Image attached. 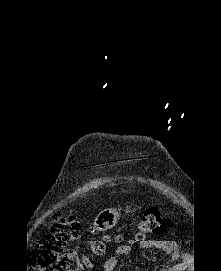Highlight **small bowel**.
I'll use <instances>...</instances> for the list:
<instances>
[{
	"instance_id": "1",
	"label": "small bowel",
	"mask_w": 221,
	"mask_h": 271,
	"mask_svg": "<svg viewBox=\"0 0 221 271\" xmlns=\"http://www.w3.org/2000/svg\"><path fill=\"white\" fill-rule=\"evenodd\" d=\"M140 246L143 249H155L159 251H163L170 255V261L174 262L179 257L177 243L173 240L168 239H147L143 238L140 240ZM130 252V248L127 245H122L118 247L115 251V256L108 257L104 260L102 265V271H114L117 265V257L127 255ZM184 263L177 264L171 267L168 271H185L186 263L189 262V257L185 255L183 257ZM166 271V270H163Z\"/></svg>"
}]
</instances>
